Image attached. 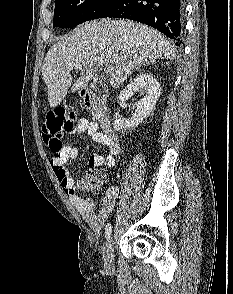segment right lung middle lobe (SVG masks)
Segmentation results:
<instances>
[{
  "instance_id": "obj_1",
  "label": "right lung middle lobe",
  "mask_w": 233,
  "mask_h": 294,
  "mask_svg": "<svg viewBox=\"0 0 233 294\" xmlns=\"http://www.w3.org/2000/svg\"><path fill=\"white\" fill-rule=\"evenodd\" d=\"M53 27L72 28L88 20L105 18L121 0H55Z\"/></svg>"
}]
</instances>
